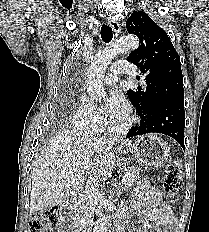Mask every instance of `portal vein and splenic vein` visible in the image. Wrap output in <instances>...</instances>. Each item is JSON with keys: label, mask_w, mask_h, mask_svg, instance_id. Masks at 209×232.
<instances>
[{"label": "portal vein and splenic vein", "mask_w": 209, "mask_h": 232, "mask_svg": "<svg viewBox=\"0 0 209 232\" xmlns=\"http://www.w3.org/2000/svg\"><path fill=\"white\" fill-rule=\"evenodd\" d=\"M126 183H127V177H126V176H124L123 184H124V185H126Z\"/></svg>", "instance_id": "1"}]
</instances>
